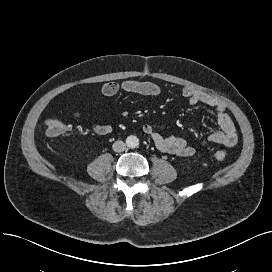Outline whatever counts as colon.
Here are the masks:
<instances>
[{
    "instance_id": "5ec220e1",
    "label": "colon",
    "mask_w": 272,
    "mask_h": 272,
    "mask_svg": "<svg viewBox=\"0 0 272 272\" xmlns=\"http://www.w3.org/2000/svg\"><path fill=\"white\" fill-rule=\"evenodd\" d=\"M46 134L49 137H58L67 131V125L56 117H48L45 121ZM214 157L218 161H224L227 158V153L223 150L214 152Z\"/></svg>"
}]
</instances>
